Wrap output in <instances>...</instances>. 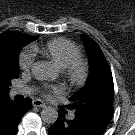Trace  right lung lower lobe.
<instances>
[{"label":"right lung lower lobe","instance_id":"1","mask_svg":"<svg viewBox=\"0 0 135 135\" xmlns=\"http://www.w3.org/2000/svg\"><path fill=\"white\" fill-rule=\"evenodd\" d=\"M32 108V100L13 102L8 93L0 95V135H15L22 116Z\"/></svg>","mask_w":135,"mask_h":135}]
</instances>
